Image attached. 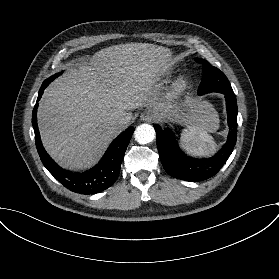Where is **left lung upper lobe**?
<instances>
[{"instance_id":"obj_1","label":"left lung upper lobe","mask_w":279,"mask_h":279,"mask_svg":"<svg viewBox=\"0 0 279 279\" xmlns=\"http://www.w3.org/2000/svg\"><path fill=\"white\" fill-rule=\"evenodd\" d=\"M195 61L202 64L204 71L201 83L198 88V95L211 92L234 94L229 80L222 71L212 66L204 59L196 58Z\"/></svg>"}]
</instances>
